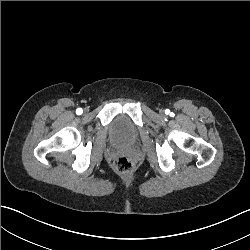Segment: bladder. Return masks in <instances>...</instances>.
<instances>
[{"instance_id":"obj_1","label":"bladder","mask_w":250,"mask_h":250,"mask_svg":"<svg viewBox=\"0 0 250 250\" xmlns=\"http://www.w3.org/2000/svg\"><path fill=\"white\" fill-rule=\"evenodd\" d=\"M110 134L118 142L133 143L138 136V129L124 114L115 116L110 123Z\"/></svg>"}]
</instances>
